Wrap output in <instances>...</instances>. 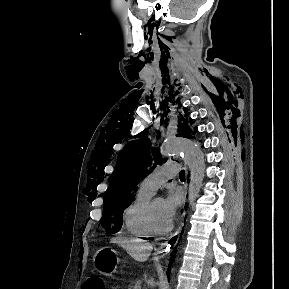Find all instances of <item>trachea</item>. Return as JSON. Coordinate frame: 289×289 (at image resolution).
I'll return each instance as SVG.
<instances>
[{"mask_svg": "<svg viewBox=\"0 0 289 289\" xmlns=\"http://www.w3.org/2000/svg\"><path fill=\"white\" fill-rule=\"evenodd\" d=\"M180 179H185V171L182 170L179 174Z\"/></svg>", "mask_w": 289, "mask_h": 289, "instance_id": "1", "label": "trachea"}]
</instances>
